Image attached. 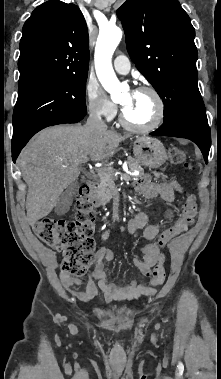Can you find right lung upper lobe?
<instances>
[{
	"label": "right lung upper lobe",
	"mask_w": 221,
	"mask_h": 379,
	"mask_svg": "<svg viewBox=\"0 0 221 379\" xmlns=\"http://www.w3.org/2000/svg\"><path fill=\"white\" fill-rule=\"evenodd\" d=\"M20 41L19 86L60 76L87 75L89 36L74 4L47 1L25 22Z\"/></svg>",
	"instance_id": "cb5924a9"
}]
</instances>
